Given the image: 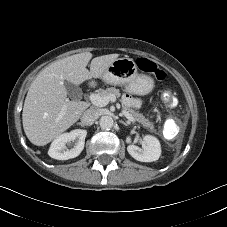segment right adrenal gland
<instances>
[{"instance_id":"obj_1","label":"right adrenal gland","mask_w":227,"mask_h":227,"mask_svg":"<svg viewBox=\"0 0 227 227\" xmlns=\"http://www.w3.org/2000/svg\"><path fill=\"white\" fill-rule=\"evenodd\" d=\"M77 124H78V125H81V126H84V124H82L81 122H78Z\"/></svg>"}]
</instances>
